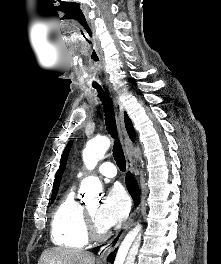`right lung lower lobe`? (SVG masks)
Segmentation results:
<instances>
[{
    "mask_svg": "<svg viewBox=\"0 0 221 264\" xmlns=\"http://www.w3.org/2000/svg\"><path fill=\"white\" fill-rule=\"evenodd\" d=\"M126 184H127V188L129 190L130 194L132 195L134 201L136 203H138L139 195H140L139 194V187H138V184H137L135 178L133 177V175L131 173H128L126 176ZM114 257H115L114 252H112L108 257V261H110L111 264L113 263Z\"/></svg>",
    "mask_w": 221,
    "mask_h": 264,
    "instance_id": "98d812e1",
    "label": "right lung lower lobe"
}]
</instances>
